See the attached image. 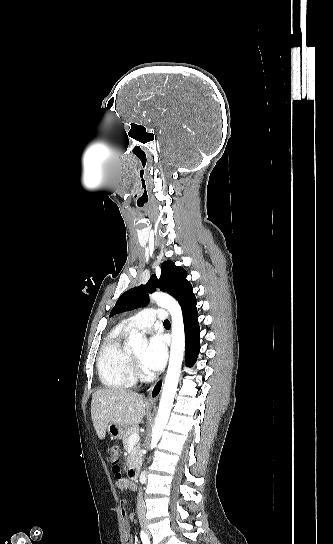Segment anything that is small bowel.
Masks as SVG:
<instances>
[{
    "label": "small bowel",
    "mask_w": 333,
    "mask_h": 544,
    "mask_svg": "<svg viewBox=\"0 0 333 544\" xmlns=\"http://www.w3.org/2000/svg\"><path fill=\"white\" fill-rule=\"evenodd\" d=\"M116 486L119 490H122V491L131 490L134 487L133 483L125 478L118 479ZM122 504H124V501H122ZM122 516L123 518H126L125 510H122ZM126 540L128 544H133V537L130 533L127 534Z\"/></svg>",
    "instance_id": "c3829d8e"
}]
</instances>
